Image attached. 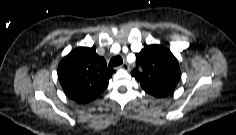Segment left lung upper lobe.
Wrapping results in <instances>:
<instances>
[{
  "label": "left lung upper lobe",
  "mask_w": 236,
  "mask_h": 135,
  "mask_svg": "<svg viewBox=\"0 0 236 135\" xmlns=\"http://www.w3.org/2000/svg\"><path fill=\"white\" fill-rule=\"evenodd\" d=\"M136 63L143 72L134 69L131 74L147 93L155 97L172 93L181 75L178 61L169 49L161 45H147L136 53Z\"/></svg>",
  "instance_id": "5c2ea615"
}]
</instances>
